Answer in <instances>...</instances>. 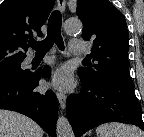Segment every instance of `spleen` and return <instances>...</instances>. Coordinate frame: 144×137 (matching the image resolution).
<instances>
[{
  "label": "spleen",
  "instance_id": "obj_1",
  "mask_svg": "<svg viewBox=\"0 0 144 137\" xmlns=\"http://www.w3.org/2000/svg\"><path fill=\"white\" fill-rule=\"evenodd\" d=\"M96 131L98 137H144L138 127L117 122L102 124Z\"/></svg>",
  "mask_w": 144,
  "mask_h": 137
}]
</instances>
